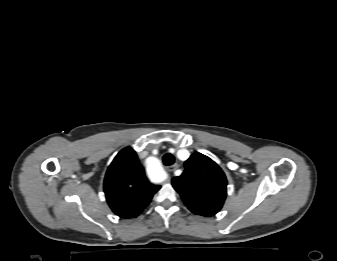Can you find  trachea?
<instances>
[{
    "instance_id": "1",
    "label": "trachea",
    "mask_w": 337,
    "mask_h": 261,
    "mask_svg": "<svg viewBox=\"0 0 337 261\" xmlns=\"http://www.w3.org/2000/svg\"><path fill=\"white\" fill-rule=\"evenodd\" d=\"M175 162V158L172 154H165L163 156V163L166 165V166H170L172 165L173 163Z\"/></svg>"
}]
</instances>
